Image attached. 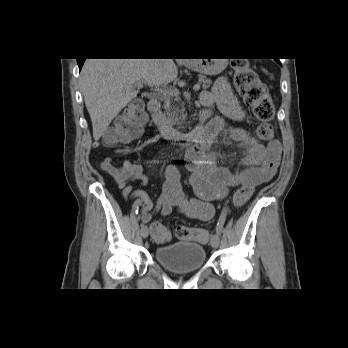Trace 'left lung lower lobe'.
Returning a JSON list of instances; mask_svg holds the SVG:
<instances>
[{
	"label": "left lung lower lobe",
	"mask_w": 348,
	"mask_h": 348,
	"mask_svg": "<svg viewBox=\"0 0 348 348\" xmlns=\"http://www.w3.org/2000/svg\"><path fill=\"white\" fill-rule=\"evenodd\" d=\"M275 60H276V59H275ZM276 61H277V62H278L280 65H281V63H280L279 59H277Z\"/></svg>",
	"instance_id": "0a47b994"
}]
</instances>
